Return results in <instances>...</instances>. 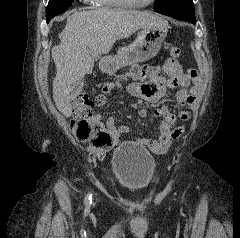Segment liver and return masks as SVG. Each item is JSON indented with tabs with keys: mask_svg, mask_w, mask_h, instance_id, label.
<instances>
[{
	"mask_svg": "<svg viewBox=\"0 0 240 238\" xmlns=\"http://www.w3.org/2000/svg\"><path fill=\"white\" fill-rule=\"evenodd\" d=\"M162 22L154 13L125 9L74 11L68 16L59 35L60 44L52 49L57 71L53 99L58 110L65 117L71 116V102L76 96L73 86L92 72L94 59L108 54L117 40Z\"/></svg>",
	"mask_w": 240,
	"mask_h": 238,
	"instance_id": "1",
	"label": "liver"
}]
</instances>
